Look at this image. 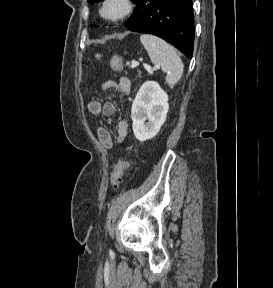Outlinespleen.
Returning a JSON list of instances; mask_svg holds the SVG:
<instances>
[{"mask_svg":"<svg viewBox=\"0 0 273 288\" xmlns=\"http://www.w3.org/2000/svg\"><path fill=\"white\" fill-rule=\"evenodd\" d=\"M140 41L151 62L161 66L166 73V83L172 88L183 74V64L175 49L163 39L150 34H142Z\"/></svg>","mask_w":273,"mask_h":288,"instance_id":"3e777b00","label":"spleen"}]
</instances>
